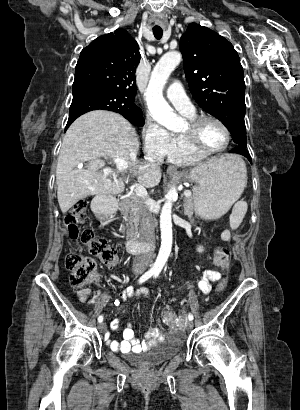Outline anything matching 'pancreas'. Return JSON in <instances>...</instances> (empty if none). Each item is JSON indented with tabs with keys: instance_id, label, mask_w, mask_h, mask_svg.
<instances>
[{
	"instance_id": "obj_1",
	"label": "pancreas",
	"mask_w": 300,
	"mask_h": 410,
	"mask_svg": "<svg viewBox=\"0 0 300 410\" xmlns=\"http://www.w3.org/2000/svg\"><path fill=\"white\" fill-rule=\"evenodd\" d=\"M120 211L122 213L123 219L126 224H121L120 231L126 232L128 236L135 234L137 226L139 224L140 213L144 209V201L137 196L132 194L128 197H125L120 202ZM184 214L191 218L194 213V200L193 198H187L184 201Z\"/></svg>"
}]
</instances>
